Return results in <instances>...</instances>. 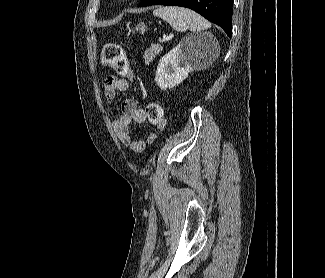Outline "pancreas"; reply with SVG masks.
Returning a JSON list of instances; mask_svg holds the SVG:
<instances>
[{
  "label": "pancreas",
  "mask_w": 325,
  "mask_h": 278,
  "mask_svg": "<svg viewBox=\"0 0 325 278\" xmlns=\"http://www.w3.org/2000/svg\"><path fill=\"white\" fill-rule=\"evenodd\" d=\"M162 50L163 47L158 44L151 45L149 48H147L143 56L145 63L149 64L150 62H152L155 59L156 55L161 53Z\"/></svg>",
  "instance_id": "1"
}]
</instances>
